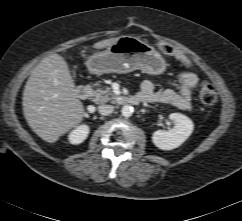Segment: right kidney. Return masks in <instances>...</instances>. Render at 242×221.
Listing matches in <instances>:
<instances>
[{
  "label": "right kidney",
  "mask_w": 242,
  "mask_h": 221,
  "mask_svg": "<svg viewBox=\"0 0 242 221\" xmlns=\"http://www.w3.org/2000/svg\"><path fill=\"white\" fill-rule=\"evenodd\" d=\"M89 134V127L85 124L76 127L70 132L68 139L71 144L82 143Z\"/></svg>",
  "instance_id": "obj_1"
}]
</instances>
